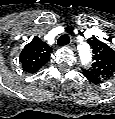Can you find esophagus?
<instances>
[{"label": "esophagus", "mask_w": 115, "mask_h": 119, "mask_svg": "<svg viewBox=\"0 0 115 119\" xmlns=\"http://www.w3.org/2000/svg\"><path fill=\"white\" fill-rule=\"evenodd\" d=\"M68 47L71 48L72 50H74V47H73L72 43H69Z\"/></svg>", "instance_id": "esophagus-1"}]
</instances>
